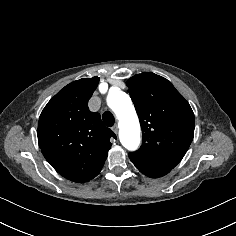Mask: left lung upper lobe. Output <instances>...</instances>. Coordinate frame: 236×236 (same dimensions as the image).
<instances>
[{
	"instance_id": "left-lung-upper-lobe-1",
	"label": "left lung upper lobe",
	"mask_w": 236,
	"mask_h": 236,
	"mask_svg": "<svg viewBox=\"0 0 236 236\" xmlns=\"http://www.w3.org/2000/svg\"><path fill=\"white\" fill-rule=\"evenodd\" d=\"M141 128V147L128 154L136 167L170 171L184 157L194 135V114L170 81L151 72L126 82Z\"/></svg>"
}]
</instances>
